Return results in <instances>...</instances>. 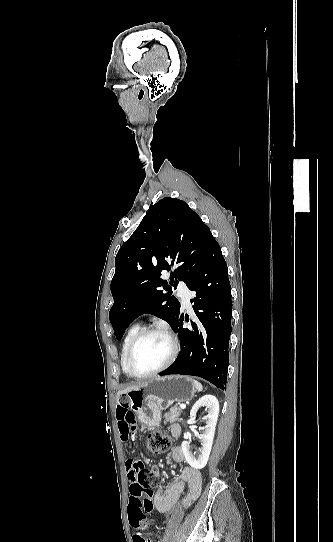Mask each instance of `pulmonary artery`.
<instances>
[{"mask_svg":"<svg viewBox=\"0 0 333 542\" xmlns=\"http://www.w3.org/2000/svg\"><path fill=\"white\" fill-rule=\"evenodd\" d=\"M178 289L180 290L179 292H177V297L180 298L181 300V303H182V306L183 307H188L189 304H190V299L189 297H186L189 295V288L188 287H185V284L184 283H179L178 284Z\"/></svg>","mask_w":333,"mask_h":542,"instance_id":"1","label":"pulmonary artery"}]
</instances>
